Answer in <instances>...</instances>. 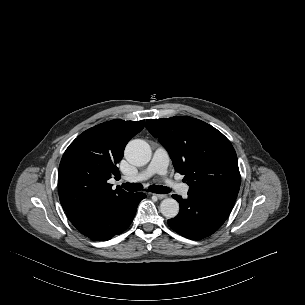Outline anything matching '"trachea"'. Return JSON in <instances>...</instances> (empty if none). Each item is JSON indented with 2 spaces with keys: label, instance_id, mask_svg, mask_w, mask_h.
Returning a JSON list of instances; mask_svg holds the SVG:
<instances>
[{
  "label": "trachea",
  "instance_id": "obj_1",
  "mask_svg": "<svg viewBox=\"0 0 305 305\" xmlns=\"http://www.w3.org/2000/svg\"><path fill=\"white\" fill-rule=\"evenodd\" d=\"M122 187L128 190L129 192H137L143 189V186L140 183H123ZM148 190L150 192L158 194H167L170 192V189L168 187L159 185H151Z\"/></svg>",
  "mask_w": 305,
  "mask_h": 305
}]
</instances>
